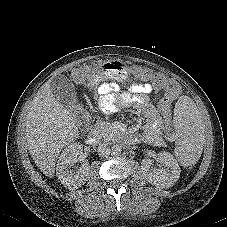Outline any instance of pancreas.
I'll list each match as a JSON object with an SVG mask.
<instances>
[{
    "instance_id": "pancreas-1",
    "label": "pancreas",
    "mask_w": 227,
    "mask_h": 227,
    "mask_svg": "<svg viewBox=\"0 0 227 227\" xmlns=\"http://www.w3.org/2000/svg\"><path fill=\"white\" fill-rule=\"evenodd\" d=\"M113 128L110 124L98 123L95 125L93 134L98 138H104L106 140L113 136Z\"/></svg>"
}]
</instances>
